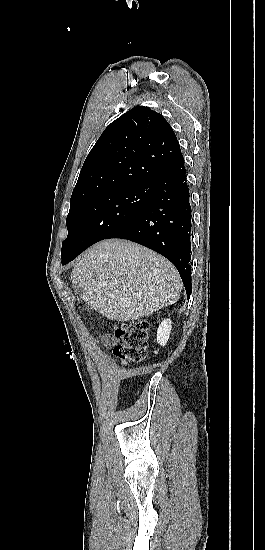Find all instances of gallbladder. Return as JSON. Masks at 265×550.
Segmentation results:
<instances>
[{"instance_id": "obj_1", "label": "gallbladder", "mask_w": 265, "mask_h": 550, "mask_svg": "<svg viewBox=\"0 0 265 550\" xmlns=\"http://www.w3.org/2000/svg\"><path fill=\"white\" fill-rule=\"evenodd\" d=\"M77 290H78V293H80V295H81V293H82V292H81V289H77Z\"/></svg>"}]
</instances>
